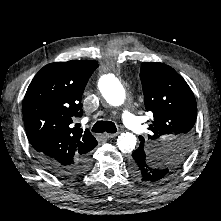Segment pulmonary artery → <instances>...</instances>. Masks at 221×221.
I'll return each instance as SVG.
<instances>
[{"label": "pulmonary artery", "instance_id": "pulmonary-artery-1", "mask_svg": "<svg viewBox=\"0 0 221 221\" xmlns=\"http://www.w3.org/2000/svg\"><path fill=\"white\" fill-rule=\"evenodd\" d=\"M122 120L124 124L135 133H140L143 129L139 118L132 114L129 110L123 111Z\"/></svg>", "mask_w": 221, "mask_h": 221}]
</instances>
